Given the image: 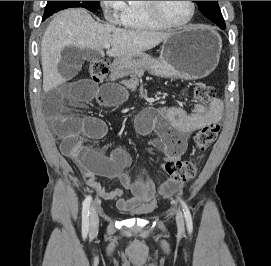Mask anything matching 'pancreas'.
<instances>
[{
  "label": "pancreas",
  "instance_id": "1",
  "mask_svg": "<svg viewBox=\"0 0 271 266\" xmlns=\"http://www.w3.org/2000/svg\"><path fill=\"white\" fill-rule=\"evenodd\" d=\"M147 66H143L141 68L135 69L132 71L131 79L130 80H124L122 81V84H124L128 88H132L133 90L136 89L138 82L135 80L136 77H140L144 74V71L147 70Z\"/></svg>",
  "mask_w": 271,
  "mask_h": 266
}]
</instances>
